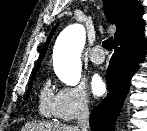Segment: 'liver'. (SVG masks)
Returning <instances> with one entry per match:
<instances>
[{"label": "liver", "instance_id": "liver-1", "mask_svg": "<svg viewBox=\"0 0 147 131\" xmlns=\"http://www.w3.org/2000/svg\"><path fill=\"white\" fill-rule=\"evenodd\" d=\"M21 131H80L76 126L49 122H29Z\"/></svg>", "mask_w": 147, "mask_h": 131}]
</instances>
